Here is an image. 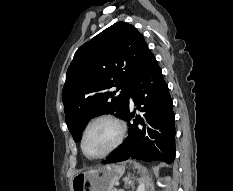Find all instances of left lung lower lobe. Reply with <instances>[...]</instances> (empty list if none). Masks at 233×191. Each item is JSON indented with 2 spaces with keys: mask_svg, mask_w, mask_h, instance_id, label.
<instances>
[{
  "mask_svg": "<svg viewBox=\"0 0 233 191\" xmlns=\"http://www.w3.org/2000/svg\"><path fill=\"white\" fill-rule=\"evenodd\" d=\"M137 110L130 134L120 148L104 163L125 161L128 158L145 161L163 160L172 163L175 153V125L172 99L162 71L150 53L136 74L129 89ZM129 101L123 118L130 120Z\"/></svg>",
  "mask_w": 233,
  "mask_h": 191,
  "instance_id": "0a47b994",
  "label": "left lung lower lobe"
}]
</instances>
